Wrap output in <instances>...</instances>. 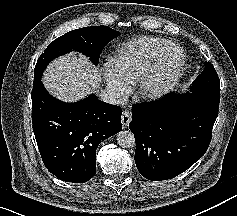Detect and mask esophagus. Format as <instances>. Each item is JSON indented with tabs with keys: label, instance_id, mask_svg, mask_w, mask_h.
Masks as SVG:
<instances>
[{
	"label": "esophagus",
	"instance_id": "obj_1",
	"mask_svg": "<svg viewBox=\"0 0 237 216\" xmlns=\"http://www.w3.org/2000/svg\"><path fill=\"white\" fill-rule=\"evenodd\" d=\"M131 119H132L131 113L129 112L128 109H125L121 116V123L123 128L128 127L129 123L131 122Z\"/></svg>",
	"mask_w": 237,
	"mask_h": 216
}]
</instances>
